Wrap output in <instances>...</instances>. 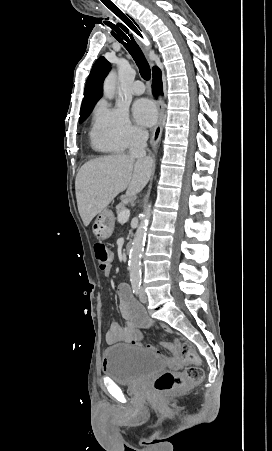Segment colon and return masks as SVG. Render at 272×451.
Here are the masks:
<instances>
[{
	"mask_svg": "<svg viewBox=\"0 0 272 451\" xmlns=\"http://www.w3.org/2000/svg\"><path fill=\"white\" fill-rule=\"evenodd\" d=\"M94 253L100 269H105L111 259L108 247L104 243H96ZM174 357L175 364L177 366L184 365L185 369L181 372L173 370L163 371L154 380V388L160 393L170 392L177 387L194 385L203 377L202 365H195L194 351L190 349L188 343L182 344L179 350H175Z\"/></svg>",
	"mask_w": 272,
	"mask_h": 451,
	"instance_id": "5ec220e1",
	"label": "colon"
}]
</instances>
